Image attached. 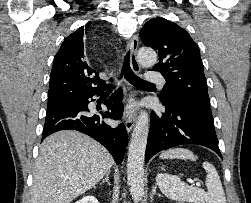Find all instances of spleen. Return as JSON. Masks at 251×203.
Masks as SVG:
<instances>
[{
    "label": "spleen",
    "mask_w": 251,
    "mask_h": 203,
    "mask_svg": "<svg viewBox=\"0 0 251 203\" xmlns=\"http://www.w3.org/2000/svg\"><path fill=\"white\" fill-rule=\"evenodd\" d=\"M161 159H189L195 161L197 156L186 148H172L161 153ZM203 168L207 172V192L203 189L192 187L182 182L178 176L170 174H157L156 181L161 192L169 199L191 203H226V198L220 177L215 167L204 162Z\"/></svg>",
    "instance_id": "1"
}]
</instances>
